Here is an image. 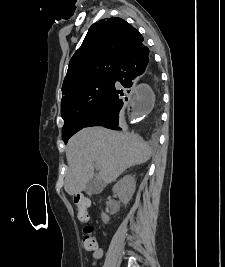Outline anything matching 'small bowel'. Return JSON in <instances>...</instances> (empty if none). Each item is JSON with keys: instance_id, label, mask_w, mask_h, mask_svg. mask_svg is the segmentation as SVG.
Segmentation results:
<instances>
[{"instance_id": "c3829d8e", "label": "small bowel", "mask_w": 225, "mask_h": 267, "mask_svg": "<svg viewBox=\"0 0 225 267\" xmlns=\"http://www.w3.org/2000/svg\"><path fill=\"white\" fill-rule=\"evenodd\" d=\"M101 256H102V250L98 245H96V247L93 249V257L100 258Z\"/></svg>"}]
</instances>
